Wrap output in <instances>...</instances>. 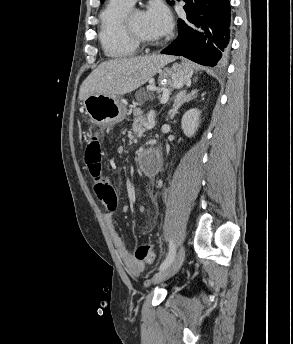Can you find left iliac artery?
<instances>
[{"label":"left iliac artery","instance_id":"obj_1","mask_svg":"<svg viewBox=\"0 0 293 344\" xmlns=\"http://www.w3.org/2000/svg\"><path fill=\"white\" fill-rule=\"evenodd\" d=\"M175 254H176L175 244H174L173 240H170L168 256L161 263L159 270H163L166 267H168L172 263V261L174 260Z\"/></svg>","mask_w":293,"mask_h":344}]
</instances>
